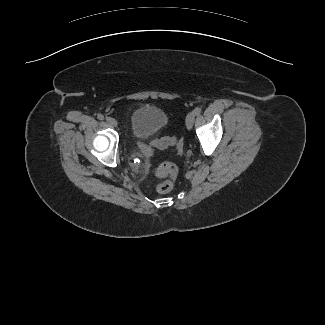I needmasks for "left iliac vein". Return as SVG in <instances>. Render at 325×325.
Here are the masks:
<instances>
[{
    "label": "left iliac vein",
    "mask_w": 325,
    "mask_h": 325,
    "mask_svg": "<svg viewBox=\"0 0 325 325\" xmlns=\"http://www.w3.org/2000/svg\"><path fill=\"white\" fill-rule=\"evenodd\" d=\"M194 120H195V113L194 112L188 113V115L186 116V126L188 129H191L193 127Z\"/></svg>",
    "instance_id": "left-iliac-vein-1"
}]
</instances>
